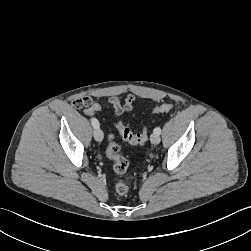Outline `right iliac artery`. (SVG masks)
I'll return each mask as SVG.
<instances>
[{
  "instance_id": "obj_1",
  "label": "right iliac artery",
  "mask_w": 251,
  "mask_h": 251,
  "mask_svg": "<svg viewBox=\"0 0 251 251\" xmlns=\"http://www.w3.org/2000/svg\"><path fill=\"white\" fill-rule=\"evenodd\" d=\"M91 123L94 128H99V122L96 118H91Z\"/></svg>"
}]
</instances>
